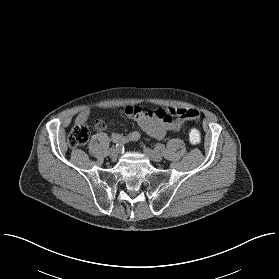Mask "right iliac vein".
Instances as JSON below:
<instances>
[{
    "instance_id": "1",
    "label": "right iliac vein",
    "mask_w": 279,
    "mask_h": 279,
    "mask_svg": "<svg viewBox=\"0 0 279 279\" xmlns=\"http://www.w3.org/2000/svg\"><path fill=\"white\" fill-rule=\"evenodd\" d=\"M118 153H119V150H118L117 148H115V147H112V148L109 150V156H110L112 159L117 158Z\"/></svg>"
}]
</instances>
